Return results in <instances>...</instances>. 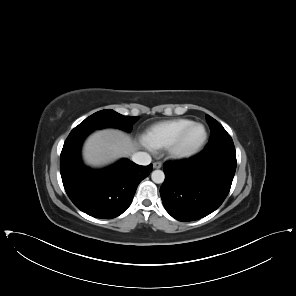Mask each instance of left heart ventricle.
Returning a JSON list of instances; mask_svg holds the SVG:
<instances>
[{
	"label": "left heart ventricle",
	"instance_id": "obj_1",
	"mask_svg": "<svg viewBox=\"0 0 296 296\" xmlns=\"http://www.w3.org/2000/svg\"><path fill=\"white\" fill-rule=\"evenodd\" d=\"M203 135V130L199 126L192 127L183 137L180 143L181 150H190L197 146Z\"/></svg>",
	"mask_w": 296,
	"mask_h": 296
}]
</instances>
